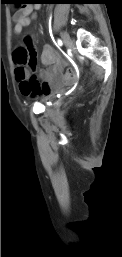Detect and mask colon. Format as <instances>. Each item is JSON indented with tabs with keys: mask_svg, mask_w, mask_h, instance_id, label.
Masks as SVG:
<instances>
[{
	"mask_svg": "<svg viewBox=\"0 0 122 257\" xmlns=\"http://www.w3.org/2000/svg\"><path fill=\"white\" fill-rule=\"evenodd\" d=\"M10 10H21V5H10ZM25 43L27 47L17 49L14 54V59L20 66L25 64L34 65V53L31 49L30 38H26ZM63 74L64 85H74V83H78L79 77L77 76L78 74L75 72L73 67H65Z\"/></svg>",
	"mask_w": 122,
	"mask_h": 257,
	"instance_id": "1",
	"label": "colon"
}]
</instances>
